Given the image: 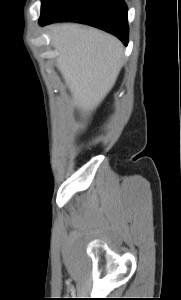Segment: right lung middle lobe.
<instances>
[{
  "label": "right lung middle lobe",
  "instance_id": "dd1d6c3e",
  "mask_svg": "<svg viewBox=\"0 0 181 300\" xmlns=\"http://www.w3.org/2000/svg\"><path fill=\"white\" fill-rule=\"evenodd\" d=\"M61 1L62 0H42L41 16L46 15L48 12H50Z\"/></svg>",
  "mask_w": 181,
  "mask_h": 300
}]
</instances>
